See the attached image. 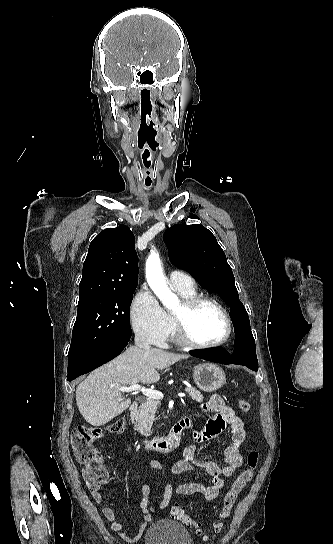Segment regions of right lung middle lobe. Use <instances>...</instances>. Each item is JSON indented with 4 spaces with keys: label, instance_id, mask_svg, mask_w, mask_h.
Returning <instances> with one entry per match:
<instances>
[{
    "label": "right lung middle lobe",
    "instance_id": "right-lung-middle-lobe-1",
    "mask_svg": "<svg viewBox=\"0 0 333 544\" xmlns=\"http://www.w3.org/2000/svg\"><path fill=\"white\" fill-rule=\"evenodd\" d=\"M134 291H111L78 303L68 360L107 337L131 331L129 310Z\"/></svg>",
    "mask_w": 333,
    "mask_h": 544
}]
</instances>
